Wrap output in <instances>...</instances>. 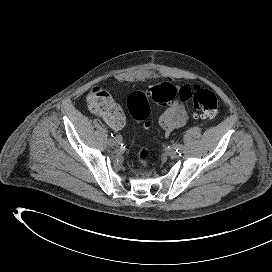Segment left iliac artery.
I'll return each mask as SVG.
<instances>
[{
    "label": "left iliac artery",
    "mask_w": 272,
    "mask_h": 272,
    "mask_svg": "<svg viewBox=\"0 0 272 272\" xmlns=\"http://www.w3.org/2000/svg\"><path fill=\"white\" fill-rule=\"evenodd\" d=\"M183 145L182 144H179V143H177V144H175L174 145V149L176 150V152H178L179 154H181V152L183 151Z\"/></svg>",
    "instance_id": "obj_1"
}]
</instances>
